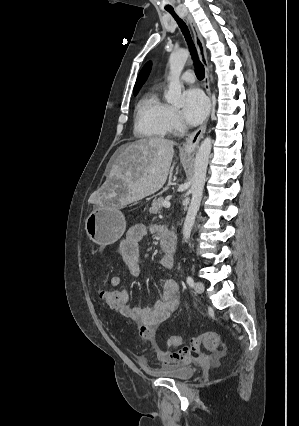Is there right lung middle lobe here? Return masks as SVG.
Instances as JSON below:
<instances>
[{
    "label": "right lung middle lobe",
    "instance_id": "dd1d6c3e",
    "mask_svg": "<svg viewBox=\"0 0 299 426\" xmlns=\"http://www.w3.org/2000/svg\"><path fill=\"white\" fill-rule=\"evenodd\" d=\"M137 93H138V91H135V92H134V95H136Z\"/></svg>",
    "mask_w": 299,
    "mask_h": 426
}]
</instances>
